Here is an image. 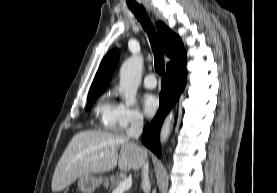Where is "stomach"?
I'll return each instance as SVG.
<instances>
[{
	"label": "stomach",
	"mask_w": 277,
	"mask_h": 193,
	"mask_svg": "<svg viewBox=\"0 0 277 193\" xmlns=\"http://www.w3.org/2000/svg\"><path fill=\"white\" fill-rule=\"evenodd\" d=\"M103 182V177H96L93 174H89L79 177L78 188L82 193H93Z\"/></svg>",
	"instance_id": "obj_1"
}]
</instances>
